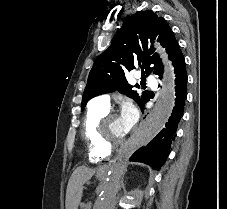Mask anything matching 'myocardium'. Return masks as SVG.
<instances>
[{
	"mask_svg": "<svg viewBox=\"0 0 227 209\" xmlns=\"http://www.w3.org/2000/svg\"><path fill=\"white\" fill-rule=\"evenodd\" d=\"M116 113L108 112L102 119L99 120L97 126H96V135L99 143L106 149L108 150H113L117 149L121 146H123L126 142L127 139H121V140H115L112 141L108 139L105 135V126L107 123L115 118H117Z\"/></svg>",
	"mask_w": 227,
	"mask_h": 209,
	"instance_id": "1",
	"label": "myocardium"
}]
</instances>
